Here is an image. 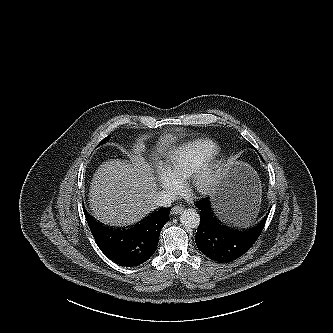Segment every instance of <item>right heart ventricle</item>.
<instances>
[{
    "mask_svg": "<svg viewBox=\"0 0 333 333\" xmlns=\"http://www.w3.org/2000/svg\"><path fill=\"white\" fill-rule=\"evenodd\" d=\"M218 152L219 147L214 141L194 139L170 150L166 156V164L173 175L184 179L213 159Z\"/></svg>",
    "mask_w": 333,
    "mask_h": 333,
    "instance_id": "right-heart-ventricle-1",
    "label": "right heart ventricle"
}]
</instances>
